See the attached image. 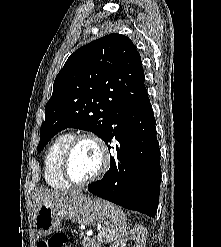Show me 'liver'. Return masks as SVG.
Wrapping results in <instances>:
<instances>
[{"label":"liver","instance_id":"6515ba94","mask_svg":"<svg viewBox=\"0 0 221 247\" xmlns=\"http://www.w3.org/2000/svg\"><path fill=\"white\" fill-rule=\"evenodd\" d=\"M80 191H65V192H58V191H47V192H41L36 196V212L39 209V206L41 204H58L62 203L66 200H69L70 198L78 195Z\"/></svg>","mask_w":221,"mask_h":247}]
</instances>
